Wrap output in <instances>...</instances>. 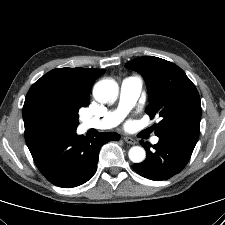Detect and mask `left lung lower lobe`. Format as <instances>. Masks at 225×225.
Here are the masks:
<instances>
[{
    "mask_svg": "<svg viewBox=\"0 0 225 225\" xmlns=\"http://www.w3.org/2000/svg\"><path fill=\"white\" fill-rule=\"evenodd\" d=\"M140 143L145 147L147 158L139 164H134V170L141 176L151 180H167L183 170L188 163L195 145L164 136L150 151V145L143 140Z\"/></svg>",
    "mask_w": 225,
    "mask_h": 225,
    "instance_id": "obj_1",
    "label": "left lung lower lobe"
}]
</instances>
